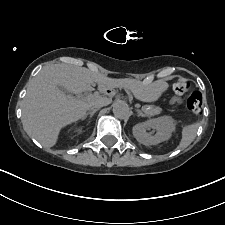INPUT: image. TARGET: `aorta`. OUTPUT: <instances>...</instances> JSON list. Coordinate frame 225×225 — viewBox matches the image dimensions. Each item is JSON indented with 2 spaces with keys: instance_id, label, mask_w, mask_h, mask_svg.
Returning a JSON list of instances; mask_svg holds the SVG:
<instances>
[{
  "instance_id": "aorta-1",
  "label": "aorta",
  "mask_w": 225,
  "mask_h": 225,
  "mask_svg": "<svg viewBox=\"0 0 225 225\" xmlns=\"http://www.w3.org/2000/svg\"><path fill=\"white\" fill-rule=\"evenodd\" d=\"M113 114L118 119H127L130 116V109L123 101H116L113 103Z\"/></svg>"
}]
</instances>
